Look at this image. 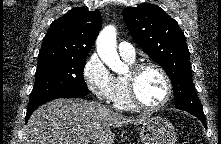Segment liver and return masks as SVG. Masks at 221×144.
Segmentation results:
<instances>
[{
  "instance_id": "liver-1",
  "label": "liver",
  "mask_w": 221,
  "mask_h": 144,
  "mask_svg": "<svg viewBox=\"0 0 221 144\" xmlns=\"http://www.w3.org/2000/svg\"><path fill=\"white\" fill-rule=\"evenodd\" d=\"M149 118L123 116L100 103L56 99L31 115L23 132L24 144H114L112 127L140 125Z\"/></svg>"
}]
</instances>
